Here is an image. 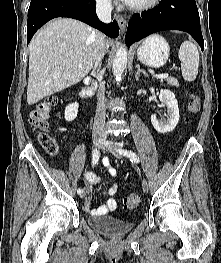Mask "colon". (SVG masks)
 I'll return each mask as SVG.
<instances>
[{
	"mask_svg": "<svg viewBox=\"0 0 221 263\" xmlns=\"http://www.w3.org/2000/svg\"><path fill=\"white\" fill-rule=\"evenodd\" d=\"M58 103L56 97H51L40 104H38L30 112V123L38 132V135L43 143H45L52 153L56 152L55 146L52 144L50 138L47 135V131L50 126V111L53 106ZM189 110L192 114H196L199 110V101L196 97H193ZM140 196L138 194H129L124 198L123 205L125 209L132 210L139 206Z\"/></svg>",
	"mask_w": 221,
	"mask_h": 263,
	"instance_id": "1",
	"label": "colon"
}]
</instances>
